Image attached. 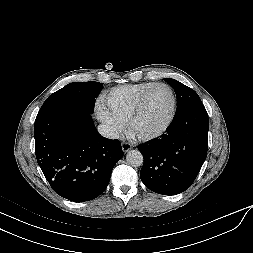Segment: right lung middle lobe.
Here are the masks:
<instances>
[{"label":"right lung middle lobe","instance_id":"obj_1","mask_svg":"<svg viewBox=\"0 0 253 253\" xmlns=\"http://www.w3.org/2000/svg\"><path fill=\"white\" fill-rule=\"evenodd\" d=\"M102 88L101 83L94 81L67 84L50 95L40 110H77L91 114L94 111L95 98Z\"/></svg>","mask_w":253,"mask_h":253}]
</instances>
